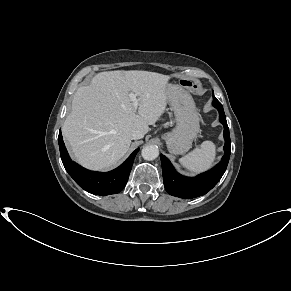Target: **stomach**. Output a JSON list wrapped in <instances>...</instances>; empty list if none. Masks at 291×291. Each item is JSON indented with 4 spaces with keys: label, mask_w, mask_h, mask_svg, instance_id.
I'll return each mask as SVG.
<instances>
[{
    "label": "stomach",
    "mask_w": 291,
    "mask_h": 291,
    "mask_svg": "<svg viewBox=\"0 0 291 291\" xmlns=\"http://www.w3.org/2000/svg\"><path fill=\"white\" fill-rule=\"evenodd\" d=\"M167 101L174 111L176 127L164 135L168 150L184 154L192 145L200 126L195 103L190 93L181 85L168 84Z\"/></svg>",
    "instance_id": "1"
}]
</instances>
